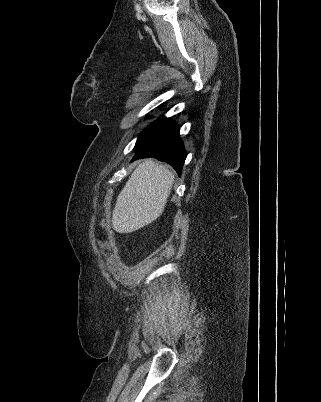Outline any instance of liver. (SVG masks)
Instances as JSON below:
<instances>
[{
	"mask_svg": "<svg viewBox=\"0 0 321 402\" xmlns=\"http://www.w3.org/2000/svg\"><path fill=\"white\" fill-rule=\"evenodd\" d=\"M174 175L164 165L146 160L138 165L117 197L112 227L131 233L155 221L164 211Z\"/></svg>",
	"mask_w": 321,
	"mask_h": 402,
	"instance_id": "6515ba94",
	"label": "liver"
}]
</instances>
